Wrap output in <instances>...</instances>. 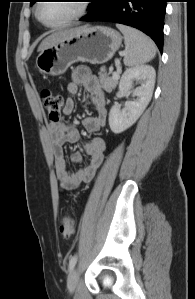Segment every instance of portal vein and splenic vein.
<instances>
[{
	"mask_svg": "<svg viewBox=\"0 0 195 299\" xmlns=\"http://www.w3.org/2000/svg\"><path fill=\"white\" fill-rule=\"evenodd\" d=\"M112 77L113 78H119V71L113 72Z\"/></svg>",
	"mask_w": 195,
	"mask_h": 299,
	"instance_id": "18ae733b",
	"label": "portal vein and splenic vein"
}]
</instances>
